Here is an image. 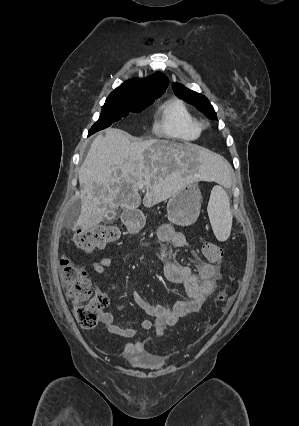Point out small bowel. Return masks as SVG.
Listing matches in <instances>:
<instances>
[{"label": "small bowel", "instance_id": "small-bowel-1", "mask_svg": "<svg viewBox=\"0 0 299 426\" xmlns=\"http://www.w3.org/2000/svg\"><path fill=\"white\" fill-rule=\"evenodd\" d=\"M157 237L161 243L159 257L163 263L164 275L169 281L182 284L187 298L176 302L172 308L152 304L136 291L132 292V298L152 318V320H143L140 328L162 335L166 326H173L181 318L199 310L207 296L213 292L216 281L221 278L222 272L219 267L197 257L195 270L171 261L169 258L170 245L175 248L186 245L185 236L175 231L172 226L167 224L160 226ZM112 265V259L105 256L93 263V269L98 274H105L106 270ZM99 316L101 324L110 334L125 338H136L134 342L126 344L122 350V356L127 360L137 363L157 359L147 350L150 339L138 336L137 328H125L117 325L113 314L106 310H102Z\"/></svg>", "mask_w": 299, "mask_h": 426}]
</instances>
